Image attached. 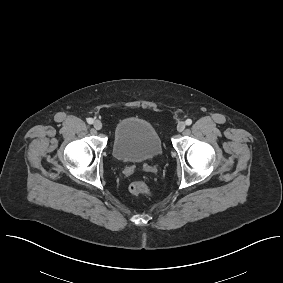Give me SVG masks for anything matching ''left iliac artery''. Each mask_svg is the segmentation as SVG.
<instances>
[{"label":"left iliac artery","instance_id":"1","mask_svg":"<svg viewBox=\"0 0 283 283\" xmlns=\"http://www.w3.org/2000/svg\"><path fill=\"white\" fill-rule=\"evenodd\" d=\"M192 124V120L191 119H187L186 120V125H191Z\"/></svg>","mask_w":283,"mask_h":283}]
</instances>
